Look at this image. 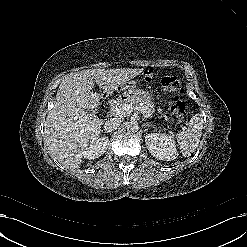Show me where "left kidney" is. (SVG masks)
<instances>
[{"mask_svg": "<svg viewBox=\"0 0 247 247\" xmlns=\"http://www.w3.org/2000/svg\"><path fill=\"white\" fill-rule=\"evenodd\" d=\"M145 143L151 155L159 160L172 161L178 156L172 135L150 133L145 136Z\"/></svg>", "mask_w": 247, "mask_h": 247, "instance_id": "left-kidney-1", "label": "left kidney"}]
</instances>
